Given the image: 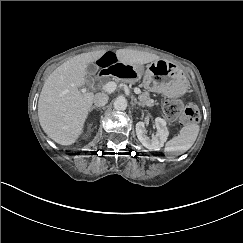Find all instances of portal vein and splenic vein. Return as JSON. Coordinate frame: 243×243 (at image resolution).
Segmentation results:
<instances>
[{"instance_id":"1","label":"portal vein and splenic vein","mask_w":243,"mask_h":243,"mask_svg":"<svg viewBox=\"0 0 243 243\" xmlns=\"http://www.w3.org/2000/svg\"><path fill=\"white\" fill-rule=\"evenodd\" d=\"M116 87H117V84H116L114 81H110V82L106 83V84L103 86V89H104L106 92H108V93H112V92H114V91L116 90ZM81 92H82V93H85V92H86V88H82V89H81ZM134 92H135L136 94L141 93L140 89L137 88V87L134 88Z\"/></svg>"}]
</instances>
